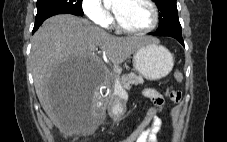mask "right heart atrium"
I'll use <instances>...</instances> for the list:
<instances>
[{
  "label": "right heart atrium",
  "mask_w": 227,
  "mask_h": 142,
  "mask_svg": "<svg viewBox=\"0 0 227 142\" xmlns=\"http://www.w3.org/2000/svg\"><path fill=\"white\" fill-rule=\"evenodd\" d=\"M81 7L85 16L92 23L103 28H107L111 24V15L100 0H82Z\"/></svg>",
  "instance_id": "obj_1"
}]
</instances>
